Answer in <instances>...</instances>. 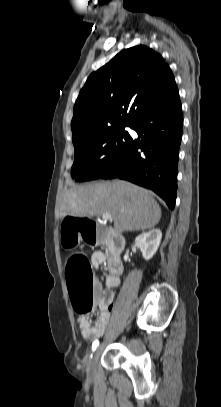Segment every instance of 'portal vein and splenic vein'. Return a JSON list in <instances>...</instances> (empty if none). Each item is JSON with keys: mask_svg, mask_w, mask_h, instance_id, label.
<instances>
[{"mask_svg": "<svg viewBox=\"0 0 221 407\" xmlns=\"http://www.w3.org/2000/svg\"><path fill=\"white\" fill-rule=\"evenodd\" d=\"M103 220H112L111 215L109 213H104L102 215Z\"/></svg>", "mask_w": 221, "mask_h": 407, "instance_id": "18ae733b", "label": "portal vein and splenic vein"}]
</instances>
